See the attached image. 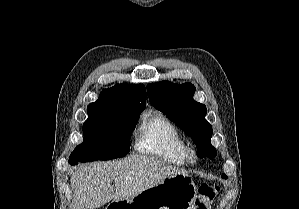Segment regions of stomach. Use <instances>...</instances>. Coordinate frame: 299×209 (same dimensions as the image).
<instances>
[{
  "label": "stomach",
  "instance_id": "stomach-1",
  "mask_svg": "<svg viewBox=\"0 0 299 209\" xmlns=\"http://www.w3.org/2000/svg\"><path fill=\"white\" fill-rule=\"evenodd\" d=\"M196 192L188 175L176 174L131 199L113 201L108 209H194Z\"/></svg>",
  "mask_w": 299,
  "mask_h": 209
}]
</instances>
